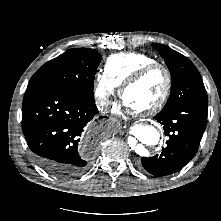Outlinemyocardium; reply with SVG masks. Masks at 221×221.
<instances>
[{"label": "myocardium", "instance_id": "f54148a6", "mask_svg": "<svg viewBox=\"0 0 221 221\" xmlns=\"http://www.w3.org/2000/svg\"><path fill=\"white\" fill-rule=\"evenodd\" d=\"M156 70L162 71L165 76V89H164L162 95L160 96V98L155 103H153L152 105H150L147 108L134 110V113L137 115H141V116L151 115V114H154V113L160 111L165 106V104L167 103V101L170 97L171 91H172L171 73H170L169 69L166 66H164L163 64H161L159 62H154V63H150V64L144 65L141 68H139L122 85L121 96L124 99L125 92L129 87L138 83L139 81H141L146 76H148L149 74H151L152 72H154Z\"/></svg>", "mask_w": 221, "mask_h": 221}]
</instances>
